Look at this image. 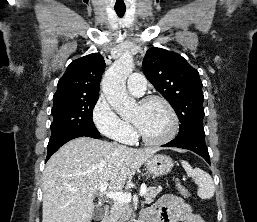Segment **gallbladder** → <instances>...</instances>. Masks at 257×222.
Returning a JSON list of instances; mask_svg holds the SVG:
<instances>
[{
	"label": "gallbladder",
	"mask_w": 257,
	"mask_h": 222,
	"mask_svg": "<svg viewBox=\"0 0 257 222\" xmlns=\"http://www.w3.org/2000/svg\"><path fill=\"white\" fill-rule=\"evenodd\" d=\"M102 217H103V210L100 207L96 206L94 208L93 219L100 220L102 219Z\"/></svg>",
	"instance_id": "1"
}]
</instances>
